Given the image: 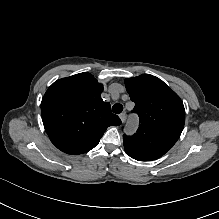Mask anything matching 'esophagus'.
I'll return each instance as SVG.
<instances>
[{"instance_id":"1","label":"esophagus","mask_w":219,"mask_h":219,"mask_svg":"<svg viewBox=\"0 0 219 219\" xmlns=\"http://www.w3.org/2000/svg\"><path fill=\"white\" fill-rule=\"evenodd\" d=\"M119 118L121 119V122L124 123V121H125V113H121L119 115Z\"/></svg>"}]
</instances>
